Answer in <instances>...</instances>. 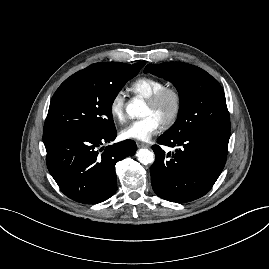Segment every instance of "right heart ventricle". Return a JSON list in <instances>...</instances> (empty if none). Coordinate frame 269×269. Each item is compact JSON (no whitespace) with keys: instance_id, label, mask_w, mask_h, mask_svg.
Instances as JSON below:
<instances>
[{"instance_id":"right-heart-ventricle-1","label":"right heart ventricle","mask_w":269,"mask_h":269,"mask_svg":"<svg viewBox=\"0 0 269 269\" xmlns=\"http://www.w3.org/2000/svg\"><path fill=\"white\" fill-rule=\"evenodd\" d=\"M164 83L151 76H142L135 79L129 86V90L136 96L148 98L158 89L162 88Z\"/></svg>"}]
</instances>
